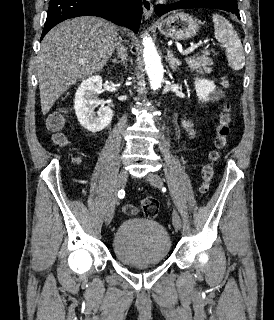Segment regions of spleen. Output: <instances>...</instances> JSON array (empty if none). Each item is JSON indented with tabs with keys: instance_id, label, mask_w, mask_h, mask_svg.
Here are the masks:
<instances>
[{
	"instance_id": "spleen-1",
	"label": "spleen",
	"mask_w": 274,
	"mask_h": 320,
	"mask_svg": "<svg viewBox=\"0 0 274 320\" xmlns=\"http://www.w3.org/2000/svg\"><path fill=\"white\" fill-rule=\"evenodd\" d=\"M214 38L226 48V58L230 68L242 70L245 66V56L240 38H238L232 24L219 14H213Z\"/></svg>"
}]
</instances>
